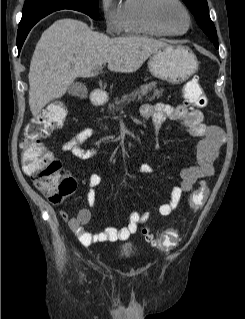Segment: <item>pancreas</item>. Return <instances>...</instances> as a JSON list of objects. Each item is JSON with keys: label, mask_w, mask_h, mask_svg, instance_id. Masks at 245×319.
<instances>
[{"label": "pancreas", "mask_w": 245, "mask_h": 319, "mask_svg": "<svg viewBox=\"0 0 245 319\" xmlns=\"http://www.w3.org/2000/svg\"><path fill=\"white\" fill-rule=\"evenodd\" d=\"M149 92H152V96L149 100H154L156 98H160L163 95V89H158L157 82L152 81L148 84H143L130 94L123 95L121 99L115 98L114 102L108 104L109 113L114 114L115 111L121 109L122 105L125 102H129L131 100H140L144 96H146Z\"/></svg>", "instance_id": "obj_1"}]
</instances>
